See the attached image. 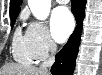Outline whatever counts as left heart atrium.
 Here are the masks:
<instances>
[{"label": "left heart atrium", "mask_w": 102, "mask_h": 75, "mask_svg": "<svg viewBox=\"0 0 102 75\" xmlns=\"http://www.w3.org/2000/svg\"><path fill=\"white\" fill-rule=\"evenodd\" d=\"M74 29V18L64 6L56 8L51 15V34L53 39L64 42Z\"/></svg>", "instance_id": "left-heart-atrium-1"}]
</instances>
